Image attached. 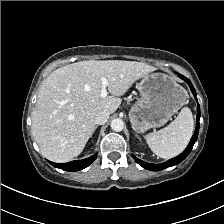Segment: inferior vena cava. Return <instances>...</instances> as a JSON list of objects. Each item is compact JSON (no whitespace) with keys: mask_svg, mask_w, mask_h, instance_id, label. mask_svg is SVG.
<instances>
[{"mask_svg":"<svg viewBox=\"0 0 224 224\" xmlns=\"http://www.w3.org/2000/svg\"><path fill=\"white\" fill-rule=\"evenodd\" d=\"M109 115L110 114L106 111H101L97 113L95 117L96 124H99V125L105 124L109 119Z\"/></svg>","mask_w":224,"mask_h":224,"instance_id":"inferior-vena-cava-1","label":"inferior vena cava"}]
</instances>
